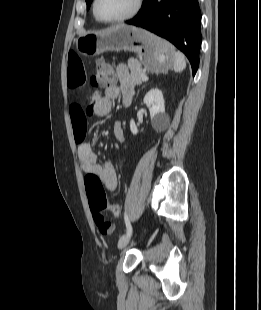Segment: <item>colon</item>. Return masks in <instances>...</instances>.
Segmentation results:
<instances>
[{
	"label": "colon",
	"instance_id": "5ec220e1",
	"mask_svg": "<svg viewBox=\"0 0 261 310\" xmlns=\"http://www.w3.org/2000/svg\"><path fill=\"white\" fill-rule=\"evenodd\" d=\"M91 85L101 89L114 82V74L111 65L105 60L97 61L94 72L90 77ZM88 200L93 212V220L103 235L111 234L114 230L112 223L106 221L101 213L102 210H110L114 216H119L121 208L117 204H109L102 182L95 174H87L85 177Z\"/></svg>",
	"mask_w": 261,
	"mask_h": 310
}]
</instances>
